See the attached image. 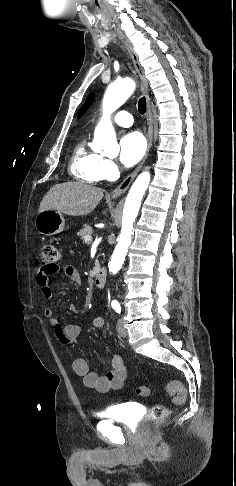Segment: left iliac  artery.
Instances as JSON below:
<instances>
[{
    "label": "left iliac artery",
    "mask_w": 236,
    "mask_h": 486,
    "mask_svg": "<svg viewBox=\"0 0 236 486\" xmlns=\"http://www.w3.org/2000/svg\"><path fill=\"white\" fill-rule=\"evenodd\" d=\"M112 307L116 311V313H121V307L117 301L112 302Z\"/></svg>",
    "instance_id": "1"
}]
</instances>
